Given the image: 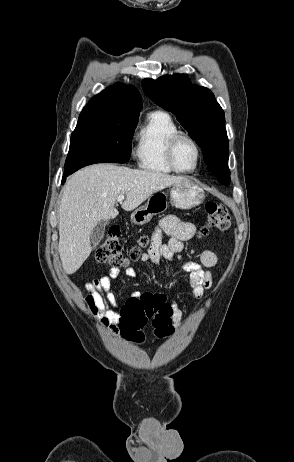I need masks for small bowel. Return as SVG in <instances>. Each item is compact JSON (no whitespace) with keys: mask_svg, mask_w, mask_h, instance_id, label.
I'll list each match as a JSON object with an SVG mask.
<instances>
[{"mask_svg":"<svg viewBox=\"0 0 294 462\" xmlns=\"http://www.w3.org/2000/svg\"><path fill=\"white\" fill-rule=\"evenodd\" d=\"M170 236L167 244L162 242V233ZM195 234V226L185 222L173 215H167L160 221L153 233L150 246L141 256L143 262L158 264L162 257L173 258L184 249V243L191 239ZM217 263V256L211 250H204L199 255V262L188 261L183 265L187 273V284L192 295L200 299L204 291L212 284L211 268ZM118 268H111L107 274L95 278L84 284L87 292L85 302L95 318L100 324L114 337L123 335L120 327V310L114 294L116 285L114 280L119 276ZM125 275L130 278L137 276L134 268L125 270ZM172 324L180 327L182 324L183 313L175 302H171Z\"/></svg>","mask_w":294,"mask_h":462,"instance_id":"1","label":"small bowel"}]
</instances>
